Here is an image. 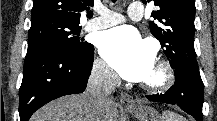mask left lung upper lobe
<instances>
[{"instance_id": "left-lung-upper-lobe-1", "label": "left lung upper lobe", "mask_w": 217, "mask_h": 121, "mask_svg": "<svg viewBox=\"0 0 217 121\" xmlns=\"http://www.w3.org/2000/svg\"><path fill=\"white\" fill-rule=\"evenodd\" d=\"M152 0H142L144 4ZM159 9L151 16L160 22H149L151 33L160 41L171 65L199 69L194 50L195 0H153Z\"/></svg>"}]
</instances>
